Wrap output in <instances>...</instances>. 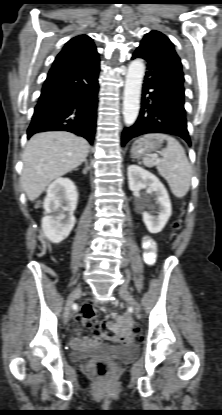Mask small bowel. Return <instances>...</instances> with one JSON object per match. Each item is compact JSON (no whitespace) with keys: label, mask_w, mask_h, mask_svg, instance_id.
Returning <instances> with one entry per match:
<instances>
[{"label":"small bowel","mask_w":222,"mask_h":415,"mask_svg":"<svg viewBox=\"0 0 222 415\" xmlns=\"http://www.w3.org/2000/svg\"><path fill=\"white\" fill-rule=\"evenodd\" d=\"M142 246L144 249V255H145V259L148 263H153L156 259V241L151 238V237H144L142 240ZM127 320V317L122 316L119 317L116 322H125ZM84 340H82L81 338H76L73 342L74 345H79L81 343H83ZM93 342H97V339H94Z\"/></svg>","instance_id":"c3829d8e"}]
</instances>
